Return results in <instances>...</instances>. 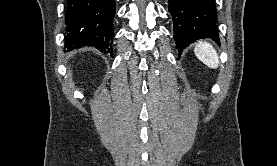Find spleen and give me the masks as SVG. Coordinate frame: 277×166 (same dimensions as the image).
Listing matches in <instances>:
<instances>
[{
	"mask_svg": "<svg viewBox=\"0 0 277 166\" xmlns=\"http://www.w3.org/2000/svg\"><path fill=\"white\" fill-rule=\"evenodd\" d=\"M197 58L208 67L216 69L219 65V57L215 49L207 42L200 41L194 48Z\"/></svg>",
	"mask_w": 277,
	"mask_h": 166,
	"instance_id": "1",
	"label": "spleen"
}]
</instances>
